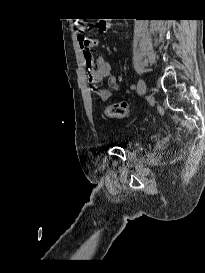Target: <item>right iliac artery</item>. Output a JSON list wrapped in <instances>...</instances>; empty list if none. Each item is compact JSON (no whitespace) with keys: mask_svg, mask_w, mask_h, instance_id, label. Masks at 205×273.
Returning <instances> with one entry per match:
<instances>
[{"mask_svg":"<svg viewBox=\"0 0 205 273\" xmlns=\"http://www.w3.org/2000/svg\"><path fill=\"white\" fill-rule=\"evenodd\" d=\"M131 89H132V90L135 89V85H131Z\"/></svg>","mask_w":205,"mask_h":273,"instance_id":"obj_1","label":"right iliac artery"}]
</instances>
